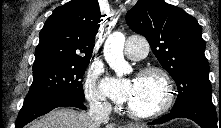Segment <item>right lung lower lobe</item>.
Masks as SVG:
<instances>
[{"instance_id": "obj_1", "label": "right lung lower lobe", "mask_w": 221, "mask_h": 128, "mask_svg": "<svg viewBox=\"0 0 221 128\" xmlns=\"http://www.w3.org/2000/svg\"><path fill=\"white\" fill-rule=\"evenodd\" d=\"M72 106L86 110L83 100L69 95H52L33 102L24 103L16 120L15 128H22L35 118L57 107Z\"/></svg>"}]
</instances>
